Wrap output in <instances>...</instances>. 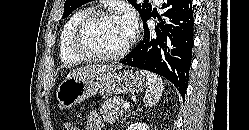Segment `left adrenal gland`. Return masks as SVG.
Masks as SVG:
<instances>
[{"label":"left adrenal gland","instance_id":"obj_1","mask_svg":"<svg viewBox=\"0 0 249 130\" xmlns=\"http://www.w3.org/2000/svg\"><path fill=\"white\" fill-rule=\"evenodd\" d=\"M129 116H130V114H128L127 116H125V118L122 120L121 123H123Z\"/></svg>","mask_w":249,"mask_h":130}]
</instances>
